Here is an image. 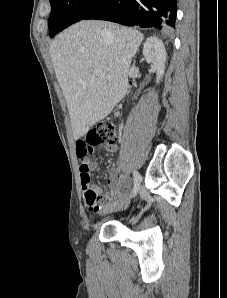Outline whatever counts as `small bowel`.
Segmentation results:
<instances>
[{
  "label": "small bowel",
  "instance_id": "obj_1",
  "mask_svg": "<svg viewBox=\"0 0 227 298\" xmlns=\"http://www.w3.org/2000/svg\"><path fill=\"white\" fill-rule=\"evenodd\" d=\"M75 147L77 151V158H80L81 160V184L85 195L86 208L89 211H97L100 209L101 204L111 201L113 198L119 196L122 193V191L127 187V180L121 176L117 168H112L108 179V184L110 186L108 192L103 193L100 187L91 185L89 180L85 186L84 179H89V171L97 168V163L95 161L88 160L89 155H94V150L92 146H89L87 139H76ZM105 149L108 152H115L117 147L116 145L112 144L107 145ZM88 191L93 193L96 197V202L93 204L90 203L86 197V193Z\"/></svg>",
  "mask_w": 227,
  "mask_h": 298
}]
</instances>
